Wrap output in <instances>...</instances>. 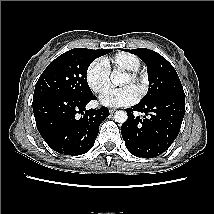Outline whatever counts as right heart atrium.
<instances>
[{"label":"right heart atrium","mask_w":214,"mask_h":214,"mask_svg":"<svg viewBox=\"0 0 214 214\" xmlns=\"http://www.w3.org/2000/svg\"><path fill=\"white\" fill-rule=\"evenodd\" d=\"M89 88L95 93L104 92L110 84V70L103 59L92 61L85 72Z\"/></svg>","instance_id":"1"}]
</instances>
